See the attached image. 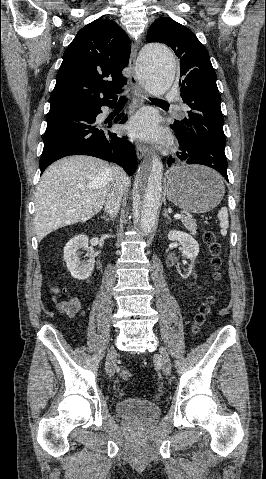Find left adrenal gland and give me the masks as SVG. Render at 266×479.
<instances>
[{
  "instance_id": "obj_1",
  "label": "left adrenal gland",
  "mask_w": 266,
  "mask_h": 479,
  "mask_svg": "<svg viewBox=\"0 0 266 479\" xmlns=\"http://www.w3.org/2000/svg\"><path fill=\"white\" fill-rule=\"evenodd\" d=\"M163 216L166 217L169 221H171V218H170V216L168 215L166 208H164Z\"/></svg>"
}]
</instances>
